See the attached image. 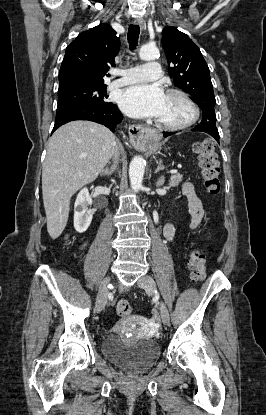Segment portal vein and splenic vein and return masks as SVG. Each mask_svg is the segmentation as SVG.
<instances>
[{"label":"portal vein and splenic vein","mask_w":266,"mask_h":415,"mask_svg":"<svg viewBox=\"0 0 266 415\" xmlns=\"http://www.w3.org/2000/svg\"><path fill=\"white\" fill-rule=\"evenodd\" d=\"M170 173L171 174H177L178 173V170L177 169H172V170H170Z\"/></svg>","instance_id":"obj_1"}]
</instances>
